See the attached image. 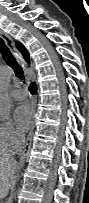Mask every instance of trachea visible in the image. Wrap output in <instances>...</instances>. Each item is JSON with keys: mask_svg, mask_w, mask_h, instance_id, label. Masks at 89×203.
I'll use <instances>...</instances> for the list:
<instances>
[{"mask_svg": "<svg viewBox=\"0 0 89 203\" xmlns=\"http://www.w3.org/2000/svg\"><path fill=\"white\" fill-rule=\"evenodd\" d=\"M0 52L4 58V61L14 70L16 77L25 82V75L22 67L17 63L14 56L10 52L7 45L4 43V40L0 38Z\"/></svg>", "mask_w": 89, "mask_h": 203, "instance_id": "3493384b", "label": "trachea"}]
</instances>
